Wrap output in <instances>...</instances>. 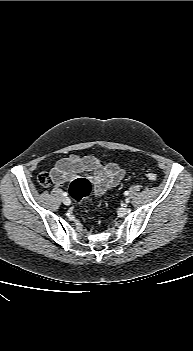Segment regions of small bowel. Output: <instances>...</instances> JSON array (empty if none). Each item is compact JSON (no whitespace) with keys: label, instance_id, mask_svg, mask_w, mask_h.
I'll use <instances>...</instances> for the list:
<instances>
[{"label":"small bowel","instance_id":"obj_1","mask_svg":"<svg viewBox=\"0 0 193 351\" xmlns=\"http://www.w3.org/2000/svg\"><path fill=\"white\" fill-rule=\"evenodd\" d=\"M82 173L87 174L96 195L118 185L124 176V171L115 163H105L93 156L70 155L57 162L51 177L57 186H63Z\"/></svg>","mask_w":193,"mask_h":351}]
</instances>
